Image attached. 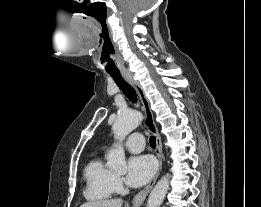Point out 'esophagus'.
<instances>
[{"label":"esophagus","instance_id":"obj_1","mask_svg":"<svg viewBox=\"0 0 261 207\" xmlns=\"http://www.w3.org/2000/svg\"><path fill=\"white\" fill-rule=\"evenodd\" d=\"M124 78L135 89V91L137 92V94L141 100L142 107L145 112V126L156 138V145H157L156 154H157V157L159 160V168H158V171L155 174L154 178L152 179V181L147 185V187L145 189H143L142 191L137 193L133 198V201H132L133 204L135 206H139L144 202L145 198L147 197L148 193L150 192L153 185L155 184V182L160 174V171L162 169V164H163V162H162V142H161V137L159 135L157 126L154 121V116H153V112L150 107V103L146 97V94H145L142 86L139 84V82H137L132 76H130L128 74H124Z\"/></svg>","mask_w":261,"mask_h":207}]
</instances>
